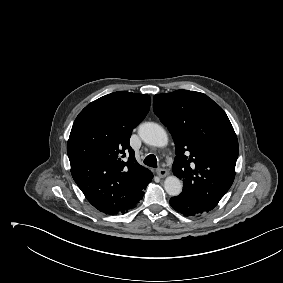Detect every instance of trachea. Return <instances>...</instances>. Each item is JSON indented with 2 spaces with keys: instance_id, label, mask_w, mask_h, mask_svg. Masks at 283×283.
<instances>
[{
  "instance_id": "obj_1",
  "label": "trachea",
  "mask_w": 283,
  "mask_h": 283,
  "mask_svg": "<svg viewBox=\"0 0 283 283\" xmlns=\"http://www.w3.org/2000/svg\"><path fill=\"white\" fill-rule=\"evenodd\" d=\"M144 164L153 168H157V159L155 155L150 154L144 159Z\"/></svg>"
}]
</instances>
